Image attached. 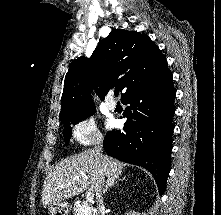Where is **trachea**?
Here are the masks:
<instances>
[{
  "label": "trachea",
  "mask_w": 221,
  "mask_h": 215,
  "mask_svg": "<svg viewBox=\"0 0 221 215\" xmlns=\"http://www.w3.org/2000/svg\"><path fill=\"white\" fill-rule=\"evenodd\" d=\"M114 95H115V97H118L119 96V90H115Z\"/></svg>",
  "instance_id": "obj_1"
}]
</instances>
